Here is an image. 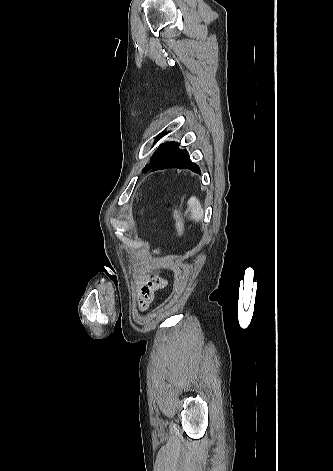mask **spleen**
I'll return each mask as SVG.
<instances>
[{"label": "spleen", "instance_id": "1", "mask_svg": "<svg viewBox=\"0 0 333 471\" xmlns=\"http://www.w3.org/2000/svg\"><path fill=\"white\" fill-rule=\"evenodd\" d=\"M188 209L191 212V218L195 221L202 220L203 218V208L199 200L193 196L188 200Z\"/></svg>", "mask_w": 333, "mask_h": 471}]
</instances>
